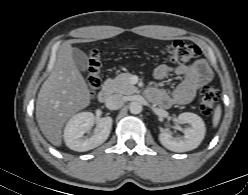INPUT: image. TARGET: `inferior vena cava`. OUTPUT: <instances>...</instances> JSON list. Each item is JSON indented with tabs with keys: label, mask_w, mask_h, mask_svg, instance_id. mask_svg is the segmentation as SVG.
Wrapping results in <instances>:
<instances>
[{
	"label": "inferior vena cava",
	"mask_w": 248,
	"mask_h": 195,
	"mask_svg": "<svg viewBox=\"0 0 248 195\" xmlns=\"http://www.w3.org/2000/svg\"><path fill=\"white\" fill-rule=\"evenodd\" d=\"M124 96L120 94H114L107 98L105 105L110 110H117L124 104Z\"/></svg>",
	"instance_id": "602c4592"
}]
</instances>
